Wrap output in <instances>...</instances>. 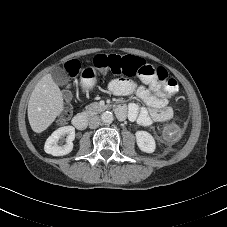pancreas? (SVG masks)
Here are the masks:
<instances>
[{
  "label": "pancreas",
  "instance_id": "1",
  "mask_svg": "<svg viewBox=\"0 0 227 227\" xmlns=\"http://www.w3.org/2000/svg\"><path fill=\"white\" fill-rule=\"evenodd\" d=\"M103 106L100 105L98 102L91 103L90 105L86 106V113L89 115L97 114L98 112L103 110Z\"/></svg>",
  "mask_w": 227,
  "mask_h": 227
}]
</instances>
